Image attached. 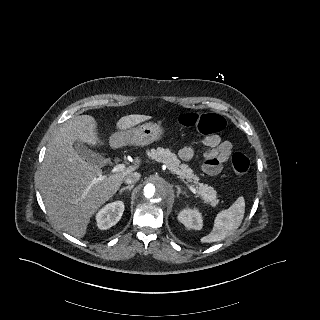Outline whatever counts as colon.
<instances>
[{"label": "colon", "mask_w": 320, "mask_h": 320, "mask_svg": "<svg viewBox=\"0 0 320 320\" xmlns=\"http://www.w3.org/2000/svg\"><path fill=\"white\" fill-rule=\"evenodd\" d=\"M178 122L185 128L195 129L203 134L221 132L226 126L225 118L217 113H183L178 117ZM231 166L234 174L242 177L248 172L250 161L243 153L236 152L232 156Z\"/></svg>", "instance_id": "obj_1"}]
</instances>
